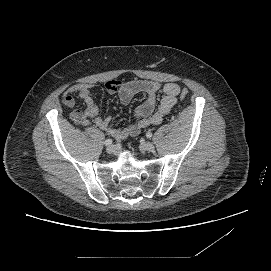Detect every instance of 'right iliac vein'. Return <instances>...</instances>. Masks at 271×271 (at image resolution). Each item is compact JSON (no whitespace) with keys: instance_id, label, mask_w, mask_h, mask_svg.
Segmentation results:
<instances>
[{"instance_id":"1","label":"right iliac vein","mask_w":271,"mask_h":271,"mask_svg":"<svg viewBox=\"0 0 271 271\" xmlns=\"http://www.w3.org/2000/svg\"><path fill=\"white\" fill-rule=\"evenodd\" d=\"M106 151H107V153H109V154H113V153H115L116 148H115L114 145H110V146L107 147Z\"/></svg>"}]
</instances>
